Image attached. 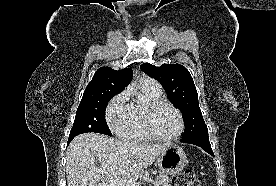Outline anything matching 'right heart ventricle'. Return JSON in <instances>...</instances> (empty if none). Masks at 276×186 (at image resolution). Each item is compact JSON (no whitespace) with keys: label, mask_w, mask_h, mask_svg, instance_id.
I'll use <instances>...</instances> for the list:
<instances>
[{"label":"right heart ventricle","mask_w":276,"mask_h":186,"mask_svg":"<svg viewBox=\"0 0 276 186\" xmlns=\"http://www.w3.org/2000/svg\"><path fill=\"white\" fill-rule=\"evenodd\" d=\"M140 95L128 104L130 120L127 126L118 132L125 139L135 141H149L152 138L148 134L145 123V110L150 103L163 99L160 86L142 81L139 85Z\"/></svg>","instance_id":"e07e8e85"}]
</instances>
